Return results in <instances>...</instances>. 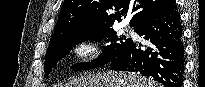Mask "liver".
<instances>
[{
	"instance_id": "liver-1",
	"label": "liver",
	"mask_w": 205,
	"mask_h": 87,
	"mask_svg": "<svg viewBox=\"0 0 205 87\" xmlns=\"http://www.w3.org/2000/svg\"><path fill=\"white\" fill-rule=\"evenodd\" d=\"M61 87H159V84L139 74L107 72L74 78Z\"/></svg>"
}]
</instances>
